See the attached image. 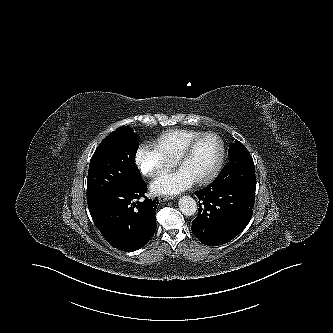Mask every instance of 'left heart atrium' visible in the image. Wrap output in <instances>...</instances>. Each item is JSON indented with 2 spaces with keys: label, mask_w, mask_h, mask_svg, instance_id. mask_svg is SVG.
I'll list each match as a JSON object with an SVG mask.
<instances>
[{
  "label": "left heart atrium",
  "mask_w": 333,
  "mask_h": 333,
  "mask_svg": "<svg viewBox=\"0 0 333 333\" xmlns=\"http://www.w3.org/2000/svg\"><path fill=\"white\" fill-rule=\"evenodd\" d=\"M194 181L183 170L163 175L151 184V190L155 194L176 195L188 189Z\"/></svg>",
  "instance_id": "obj_1"
}]
</instances>
